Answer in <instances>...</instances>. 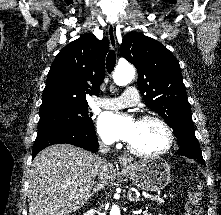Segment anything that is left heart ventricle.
<instances>
[{"label": "left heart ventricle", "mask_w": 221, "mask_h": 215, "mask_svg": "<svg viewBox=\"0 0 221 215\" xmlns=\"http://www.w3.org/2000/svg\"><path fill=\"white\" fill-rule=\"evenodd\" d=\"M129 143L139 151L154 152L165 146L166 134L157 122L138 121L135 134Z\"/></svg>", "instance_id": "b2bd125f"}]
</instances>
